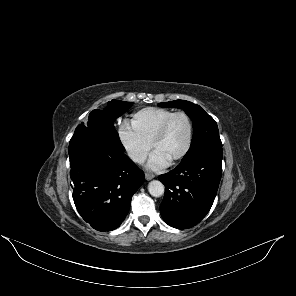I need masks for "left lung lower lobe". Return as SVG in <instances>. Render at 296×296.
Listing matches in <instances>:
<instances>
[{"instance_id":"left-lung-lower-lobe-1","label":"left lung lower lobe","mask_w":296,"mask_h":296,"mask_svg":"<svg viewBox=\"0 0 296 296\" xmlns=\"http://www.w3.org/2000/svg\"><path fill=\"white\" fill-rule=\"evenodd\" d=\"M222 148L209 149L182 161L158 179L165 185L160 213L178 229L195 226L209 212L222 175Z\"/></svg>"}]
</instances>
